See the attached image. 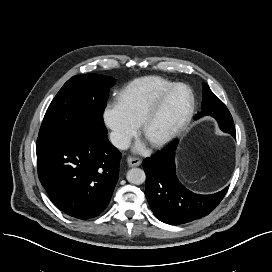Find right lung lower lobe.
<instances>
[{"mask_svg": "<svg viewBox=\"0 0 272 272\" xmlns=\"http://www.w3.org/2000/svg\"><path fill=\"white\" fill-rule=\"evenodd\" d=\"M36 152L39 180L60 210L89 219L106 208L122 157L107 134L39 137Z\"/></svg>", "mask_w": 272, "mask_h": 272, "instance_id": "right-lung-lower-lobe-1", "label": "right lung lower lobe"}]
</instances>
